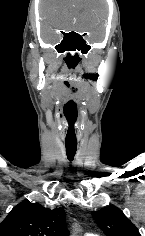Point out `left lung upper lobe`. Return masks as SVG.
<instances>
[{
	"label": "left lung upper lobe",
	"instance_id": "1",
	"mask_svg": "<svg viewBox=\"0 0 145 236\" xmlns=\"http://www.w3.org/2000/svg\"><path fill=\"white\" fill-rule=\"evenodd\" d=\"M92 216L106 236H141L134 224L114 206L92 212Z\"/></svg>",
	"mask_w": 145,
	"mask_h": 236
}]
</instances>
